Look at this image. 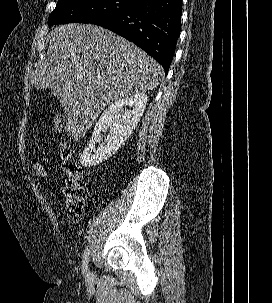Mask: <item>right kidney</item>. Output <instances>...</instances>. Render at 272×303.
<instances>
[{"label":"right kidney","mask_w":272,"mask_h":303,"mask_svg":"<svg viewBox=\"0 0 272 303\" xmlns=\"http://www.w3.org/2000/svg\"><path fill=\"white\" fill-rule=\"evenodd\" d=\"M147 100L146 94L137 93L109 105L95 124L91 139L80 156V164L84 167H92L115 154L136 128L146 108ZM126 106L132 110L124 112ZM107 130H109L107 137L95 149L96 143L101 141L102 133Z\"/></svg>","instance_id":"1"}]
</instances>
